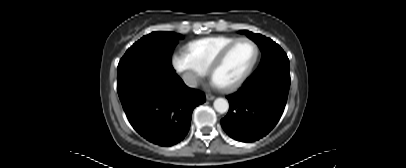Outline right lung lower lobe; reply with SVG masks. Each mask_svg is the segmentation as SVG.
Instances as JSON below:
<instances>
[{
    "instance_id": "1",
    "label": "right lung lower lobe",
    "mask_w": 406,
    "mask_h": 168,
    "mask_svg": "<svg viewBox=\"0 0 406 168\" xmlns=\"http://www.w3.org/2000/svg\"><path fill=\"white\" fill-rule=\"evenodd\" d=\"M117 91L132 127L160 146L183 140L193 109L206 101L203 92L188 88L176 73L128 83Z\"/></svg>"
}]
</instances>
